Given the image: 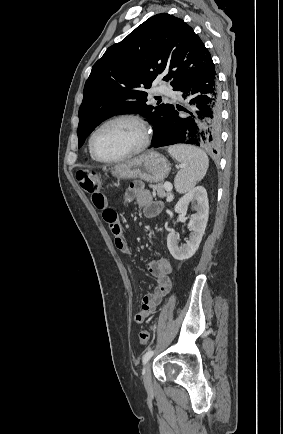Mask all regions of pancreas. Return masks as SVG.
I'll use <instances>...</instances> for the list:
<instances>
[{"label": "pancreas", "instance_id": "cf45deb5", "mask_svg": "<svg viewBox=\"0 0 283 434\" xmlns=\"http://www.w3.org/2000/svg\"><path fill=\"white\" fill-rule=\"evenodd\" d=\"M149 187L152 188L154 194L161 198L168 197L170 195L169 192H165V187L161 183L156 185L150 184Z\"/></svg>", "mask_w": 283, "mask_h": 434}]
</instances>
